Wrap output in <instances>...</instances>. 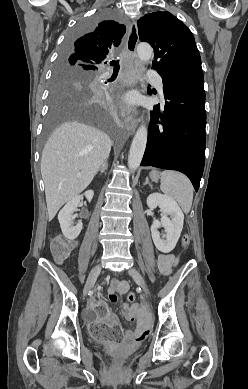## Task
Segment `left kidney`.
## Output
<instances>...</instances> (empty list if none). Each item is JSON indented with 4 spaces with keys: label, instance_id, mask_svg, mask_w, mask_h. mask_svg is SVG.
<instances>
[{
    "label": "left kidney",
    "instance_id": "1",
    "mask_svg": "<svg viewBox=\"0 0 248 389\" xmlns=\"http://www.w3.org/2000/svg\"><path fill=\"white\" fill-rule=\"evenodd\" d=\"M147 206L151 210L159 206L162 210L161 221L154 220L151 225V234L156 248L163 253H169L175 248L181 235L184 214L173 198L160 193L150 194L147 198ZM161 226L165 228L166 239H162L157 230Z\"/></svg>",
    "mask_w": 248,
    "mask_h": 389
}]
</instances>
